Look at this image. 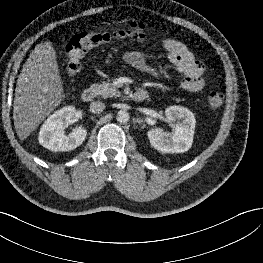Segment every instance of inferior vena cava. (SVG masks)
Here are the masks:
<instances>
[{
  "label": "inferior vena cava",
  "mask_w": 263,
  "mask_h": 263,
  "mask_svg": "<svg viewBox=\"0 0 263 263\" xmlns=\"http://www.w3.org/2000/svg\"><path fill=\"white\" fill-rule=\"evenodd\" d=\"M105 109V104L100 101H94L90 104V111L92 113L98 114Z\"/></svg>",
  "instance_id": "602c4592"
}]
</instances>
